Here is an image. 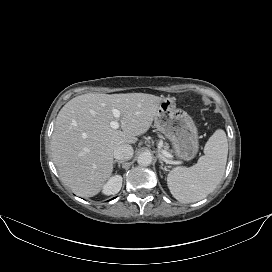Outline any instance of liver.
Returning <instances> with one entry per match:
<instances>
[{
    "mask_svg": "<svg viewBox=\"0 0 272 272\" xmlns=\"http://www.w3.org/2000/svg\"><path fill=\"white\" fill-rule=\"evenodd\" d=\"M163 99L145 93L77 96L57 115L51 138L52 159L62 182L80 197L100 192L113 172V152L134 144L148 131ZM113 109L122 129H113Z\"/></svg>",
    "mask_w": 272,
    "mask_h": 272,
    "instance_id": "1",
    "label": "liver"
}]
</instances>
